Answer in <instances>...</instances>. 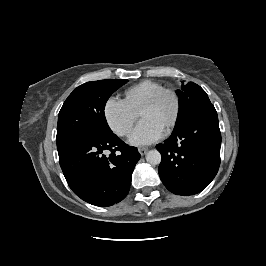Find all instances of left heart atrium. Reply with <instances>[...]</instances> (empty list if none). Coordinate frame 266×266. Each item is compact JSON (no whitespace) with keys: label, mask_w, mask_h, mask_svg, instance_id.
Instances as JSON below:
<instances>
[{"label":"left heart atrium","mask_w":266,"mask_h":266,"mask_svg":"<svg viewBox=\"0 0 266 266\" xmlns=\"http://www.w3.org/2000/svg\"><path fill=\"white\" fill-rule=\"evenodd\" d=\"M164 128L152 119H142L133 130L130 142L133 145H149L163 136Z\"/></svg>","instance_id":"obj_1"}]
</instances>
